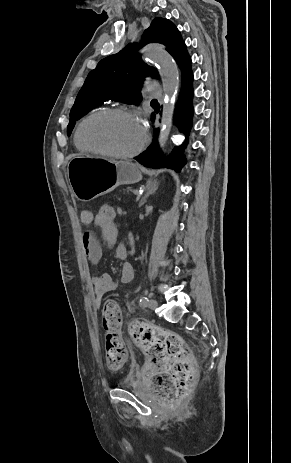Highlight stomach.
<instances>
[{"label": "stomach", "mask_w": 291, "mask_h": 463, "mask_svg": "<svg viewBox=\"0 0 291 463\" xmlns=\"http://www.w3.org/2000/svg\"><path fill=\"white\" fill-rule=\"evenodd\" d=\"M67 177L76 198L90 201L119 185L139 182L142 174L139 167L129 161L75 154L68 161Z\"/></svg>", "instance_id": "1"}]
</instances>
